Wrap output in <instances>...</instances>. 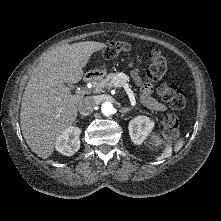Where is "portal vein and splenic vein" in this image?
<instances>
[{"label":"portal vein and splenic vein","mask_w":221,"mask_h":221,"mask_svg":"<svg viewBox=\"0 0 221 221\" xmlns=\"http://www.w3.org/2000/svg\"><path fill=\"white\" fill-rule=\"evenodd\" d=\"M120 76H121V75H120ZM114 86H115V87H121V86H122V87L125 89V91H126L128 97H129V100H130L131 105H132V106H135L136 101H135L134 94H133L132 90L129 88V85H128L127 83L122 82V81H120V80H116V81L114 82Z\"/></svg>","instance_id":"1"}]
</instances>
